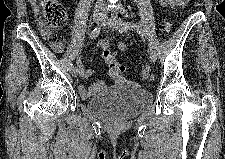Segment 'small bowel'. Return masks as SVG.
<instances>
[{
  "instance_id": "1",
  "label": "small bowel",
  "mask_w": 225,
  "mask_h": 159,
  "mask_svg": "<svg viewBox=\"0 0 225 159\" xmlns=\"http://www.w3.org/2000/svg\"><path fill=\"white\" fill-rule=\"evenodd\" d=\"M184 4H185L184 0H160V5L162 7H181ZM35 11H38L37 6H35ZM41 34L54 51H56L58 53L62 52V50H63V40L62 39H60V38H58L54 35L49 34L42 27H41ZM96 46H97V48H100V49H104L106 47H109L108 41H106V40L98 41ZM118 47L122 51L126 50V46L123 43H119ZM80 70H81V78L82 79H88L92 75L91 70L83 69L82 66H80ZM109 75L117 81L123 80L122 77L112 76L110 73H109ZM103 85L104 84H103L102 81H98L91 87L79 85L78 90H79V93L82 97L89 98L94 93H96L98 90H100L103 87Z\"/></svg>"
}]
</instances>
